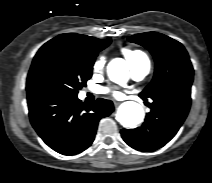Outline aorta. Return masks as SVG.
I'll use <instances>...</instances> for the list:
<instances>
[{
  "label": "aorta",
  "mask_w": 212,
  "mask_h": 183,
  "mask_svg": "<svg viewBox=\"0 0 212 183\" xmlns=\"http://www.w3.org/2000/svg\"><path fill=\"white\" fill-rule=\"evenodd\" d=\"M108 76L116 80L128 73V64L121 58L113 59L107 66ZM144 119L143 108L136 102L127 101L120 105L117 112V120L127 128H133L140 124Z\"/></svg>",
  "instance_id": "aorta-1"
}]
</instances>
